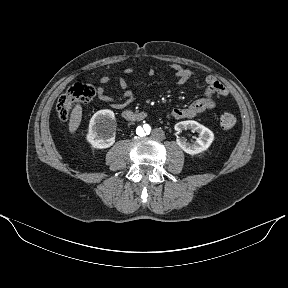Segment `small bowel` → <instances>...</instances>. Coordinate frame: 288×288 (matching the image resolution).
Returning <instances> with one entry per match:
<instances>
[{
	"instance_id": "obj_1",
	"label": "small bowel",
	"mask_w": 288,
	"mask_h": 288,
	"mask_svg": "<svg viewBox=\"0 0 288 288\" xmlns=\"http://www.w3.org/2000/svg\"><path fill=\"white\" fill-rule=\"evenodd\" d=\"M168 68L174 73V77L178 85L186 84L192 77V72L184 68L183 66L170 63L167 65ZM135 70L132 68H127L124 70V74H132ZM156 67L147 70L148 76H153L155 74ZM111 78L108 76H103L100 78V83L106 85L110 83ZM119 86L123 90V93L119 97H114L108 93V91L99 86L97 88L98 99L102 102L107 103L113 108L122 109L128 104L135 101L136 97L133 91L128 87V83L124 77H120ZM228 95V90L226 87L214 76H208L206 78V88L203 97L195 100L186 107L174 108L167 113V117L170 119H190L197 115L203 113L204 111L210 110L215 107V99H223Z\"/></svg>"
}]
</instances>
